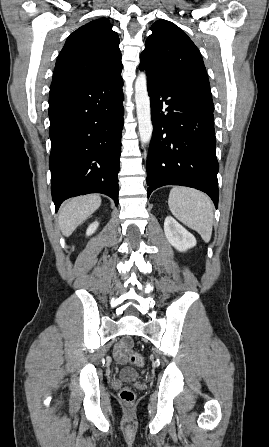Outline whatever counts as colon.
<instances>
[{"label":"colon","mask_w":269,"mask_h":447,"mask_svg":"<svg viewBox=\"0 0 269 447\" xmlns=\"http://www.w3.org/2000/svg\"><path fill=\"white\" fill-rule=\"evenodd\" d=\"M129 345V342L124 344L125 348H127L124 359L127 360L129 364L143 366L145 363L144 358L135 351L129 350ZM119 399L125 405L133 404L136 399L135 391L130 386H125L119 392Z\"/></svg>","instance_id":"1"}]
</instances>
